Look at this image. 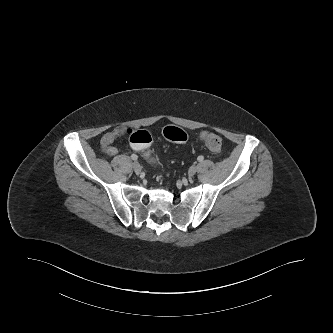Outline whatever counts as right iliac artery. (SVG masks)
Masks as SVG:
<instances>
[{
    "label": "right iliac artery",
    "mask_w": 333,
    "mask_h": 333,
    "mask_svg": "<svg viewBox=\"0 0 333 333\" xmlns=\"http://www.w3.org/2000/svg\"><path fill=\"white\" fill-rule=\"evenodd\" d=\"M131 158H132V160H137V159H138V156L135 155V154H132V155H131Z\"/></svg>",
    "instance_id": "obj_1"
}]
</instances>
